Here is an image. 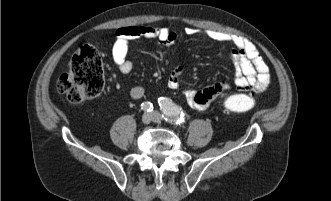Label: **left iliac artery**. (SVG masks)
Returning <instances> with one entry per match:
<instances>
[{
  "label": "left iliac artery",
  "mask_w": 331,
  "mask_h": 201,
  "mask_svg": "<svg viewBox=\"0 0 331 201\" xmlns=\"http://www.w3.org/2000/svg\"><path fill=\"white\" fill-rule=\"evenodd\" d=\"M158 103L166 120L177 125L185 122V114L170 99L161 97L158 99Z\"/></svg>",
  "instance_id": "obj_1"
}]
</instances>
